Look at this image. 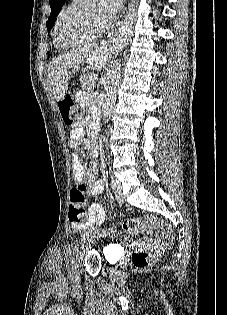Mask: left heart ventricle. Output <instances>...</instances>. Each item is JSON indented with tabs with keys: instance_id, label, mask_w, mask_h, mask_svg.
Returning a JSON list of instances; mask_svg holds the SVG:
<instances>
[{
	"instance_id": "left-heart-ventricle-1",
	"label": "left heart ventricle",
	"mask_w": 227,
	"mask_h": 315,
	"mask_svg": "<svg viewBox=\"0 0 227 315\" xmlns=\"http://www.w3.org/2000/svg\"><path fill=\"white\" fill-rule=\"evenodd\" d=\"M104 26L106 22L97 0H89L63 23L60 34L63 41L73 43L99 32Z\"/></svg>"
}]
</instances>
